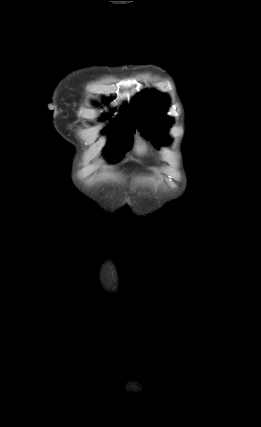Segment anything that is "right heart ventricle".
<instances>
[{
    "label": "right heart ventricle",
    "mask_w": 261,
    "mask_h": 427,
    "mask_svg": "<svg viewBox=\"0 0 261 427\" xmlns=\"http://www.w3.org/2000/svg\"><path fill=\"white\" fill-rule=\"evenodd\" d=\"M135 150H136L137 154L142 155V154L146 153L147 146L142 140L138 139L136 141Z\"/></svg>",
    "instance_id": "1"
}]
</instances>
